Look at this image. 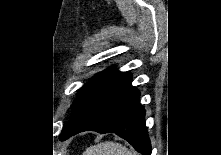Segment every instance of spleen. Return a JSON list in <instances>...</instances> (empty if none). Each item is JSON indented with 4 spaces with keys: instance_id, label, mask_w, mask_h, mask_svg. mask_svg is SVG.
<instances>
[{
    "instance_id": "1",
    "label": "spleen",
    "mask_w": 221,
    "mask_h": 155,
    "mask_svg": "<svg viewBox=\"0 0 221 155\" xmlns=\"http://www.w3.org/2000/svg\"><path fill=\"white\" fill-rule=\"evenodd\" d=\"M83 155H136L120 143L106 141L86 149Z\"/></svg>"
}]
</instances>
